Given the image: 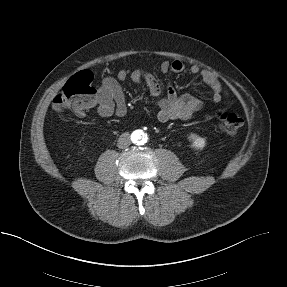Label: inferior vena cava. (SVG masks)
I'll return each mask as SVG.
<instances>
[{"mask_svg":"<svg viewBox=\"0 0 287 287\" xmlns=\"http://www.w3.org/2000/svg\"><path fill=\"white\" fill-rule=\"evenodd\" d=\"M130 144H131V140H130V136L128 133H123L122 135H120L118 139V143H117L118 148L125 149L129 147Z\"/></svg>","mask_w":287,"mask_h":287,"instance_id":"602c4592","label":"inferior vena cava"}]
</instances>
